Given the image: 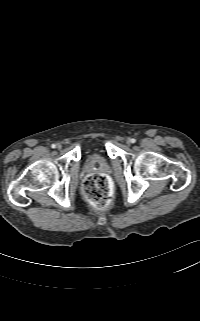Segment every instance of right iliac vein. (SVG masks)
Listing matches in <instances>:
<instances>
[{
  "label": "right iliac vein",
  "mask_w": 200,
  "mask_h": 321,
  "mask_svg": "<svg viewBox=\"0 0 200 321\" xmlns=\"http://www.w3.org/2000/svg\"><path fill=\"white\" fill-rule=\"evenodd\" d=\"M56 147H57L58 149H61V148H62V145H61L60 143H58V144L56 145Z\"/></svg>",
  "instance_id": "right-iliac-vein-1"
}]
</instances>
